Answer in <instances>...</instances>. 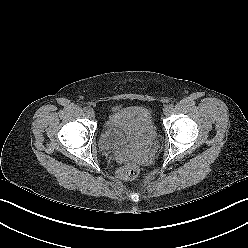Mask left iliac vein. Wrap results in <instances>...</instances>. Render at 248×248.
I'll use <instances>...</instances> for the list:
<instances>
[{
  "label": "left iliac vein",
  "instance_id": "left-iliac-vein-1",
  "mask_svg": "<svg viewBox=\"0 0 248 248\" xmlns=\"http://www.w3.org/2000/svg\"><path fill=\"white\" fill-rule=\"evenodd\" d=\"M171 112V107L170 106H165L164 108H163V113L165 114V115H168L169 113Z\"/></svg>",
  "mask_w": 248,
  "mask_h": 248
}]
</instances>
